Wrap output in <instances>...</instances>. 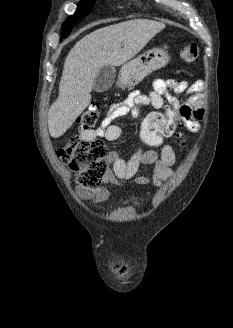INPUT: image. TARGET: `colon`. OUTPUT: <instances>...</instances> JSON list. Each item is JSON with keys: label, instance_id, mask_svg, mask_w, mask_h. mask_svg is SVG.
Wrapping results in <instances>:
<instances>
[{"label": "colon", "instance_id": "5ec220e1", "mask_svg": "<svg viewBox=\"0 0 233 328\" xmlns=\"http://www.w3.org/2000/svg\"><path fill=\"white\" fill-rule=\"evenodd\" d=\"M185 63H194L199 58V48L196 44L185 46L180 52ZM100 109L97 103H92L78 117L77 123L81 130H91L97 123ZM183 121L178 112H153L149 114L141 129V139L149 147H159L165 137H176L180 143L184 142L183 134L178 128ZM61 162L74 171L77 183L94 191L100 185L108 172V153L104 143L100 140H85L79 136L70 137L66 144L58 150Z\"/></svg>", "mask_w": 233, "mask_h": 328}]
</instances>
